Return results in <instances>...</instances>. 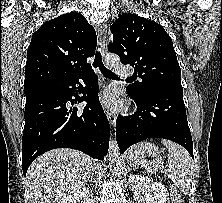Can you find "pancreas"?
Masks as SVG:
<instances>
[{"label": "pancreas", "mask_w": 222, "mask_h": 203, "mask_svg": "<svg viewBox=\"0 0 222 203\" xmlns=\"http://www.w3.org/2000/svg\"><path fill=\"white\" fill-rule=\"evenodd\" d=\"M157 162H158V161H157ZM157 162L153 163V168H155V165H156ZM159 167H160V166H159ZM159 167L157 168V170L159 169Z\"/></svg>", "instance_id": "pancreas-1"}]
</instances>
